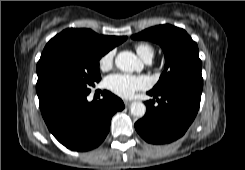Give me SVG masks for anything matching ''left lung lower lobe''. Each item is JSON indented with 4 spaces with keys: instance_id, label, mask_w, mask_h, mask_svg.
<instances>
[{
    "instance_id": "0a47b994",
    "label": "left lung lower lobe",
    "mask_w": 245,
    "mask_h": 170,
    "mask_svg": "<svg viewBox=\"0 0 245 170\" xmlns=\"http://www.w3.org/2000/svg\"><path fill=\"white\" fill-rule=\"evenodd\" d=\"M202 90L173 86L158 93L148 92L145 116L135 123L139 135L152 144H164L185 134L197 115ZM155 99L158 105L155 106Z\"/></svg>"
}]
</instances>
